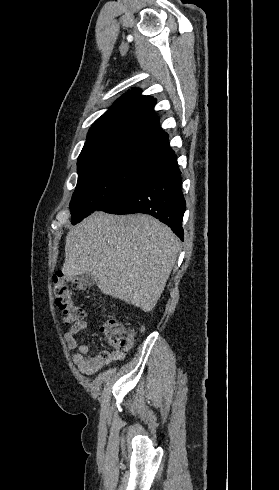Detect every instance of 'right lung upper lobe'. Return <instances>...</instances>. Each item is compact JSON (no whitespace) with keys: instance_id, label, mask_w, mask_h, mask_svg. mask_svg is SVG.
<instances>
[{"instance_id":"cb5924a9","label":"right lung upper lobe","mask_w":279,"mask_h":490,"mask_svg":"<svg viewBox=\"0 0 279 490\" xmlns=\"http://www.w3.org/2000/svg\"><path fill=\"white\" fill-rule=\"evenodd\" d=\"M156 99L140 89L124 94L90 128L78 168L106 160L156 164L173 151L153 108Z\"/></svg>"}]
</instances>
